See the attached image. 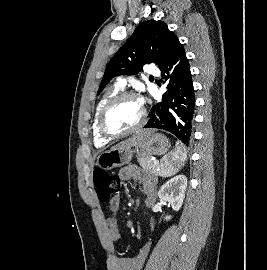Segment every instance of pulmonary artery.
<instances>
[{
  "mask_svg": "<svg viewBox=\"0 0 267 270\" xmlns=\"http://www.w3.org/2000/svg\"><path fill=\"white\" fill-rule=\"evenodd\" d=\"M147 72L152 75H157L159 73L158 69L154 66H149ZM116 85L123 88L126 85V78L122 76L118 77Z\"/></svg>",
  "mask_w": 267,
  "mask_h": 270,
  "instance_id": "obj_1",
  "label": "pulmonary artery"
}]
</instances>
